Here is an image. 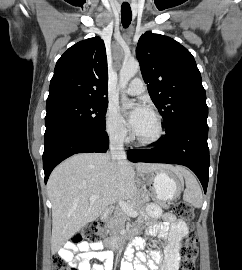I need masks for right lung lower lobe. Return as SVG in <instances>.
I'll return each instance as SVG.
<instances>
[{
	"instance_id": "98d812e1",
	"label": "right lung lower lobe",
	"mask_w": 242,
	"mask_h": 270,
	"mask_svg": "<svg viewBox=\"0 0 242 270\" xmlns=\"http://www.w3.org/2000/svg\"><path fill=\"white\" fill-rule=\"evenodd\" d=\"M44 138L45 183L52 170L69 156L81 152H106L109 148L105 130H92L77 125L54 126L45 131Z\"/></svg>"
}]
</instances>
